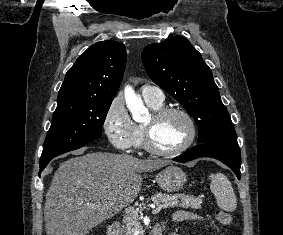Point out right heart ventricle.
<instances>
[{
	"label": "right heart ventricle",
	"mask_w": 283,
	"mask_h": 235,
	"mask_svg": "<svg viewBox=\"0 0 283 235\" xmlns=\"http://www.w3.org/2000/svg\"><path fill=\"white\" fill-rule=\"evenodd\" d=\"M147 105L152 109V110H158L159 108H161L163 106V103H158V102H154V101H150V100H145ZM136 135H135V139L133 142V146L135 147H140L142 146V125H136Z\"/></svg>",
	"instance_id": "obj_1"
}]
</instances>
